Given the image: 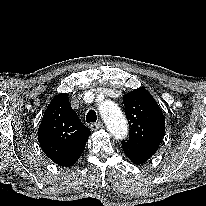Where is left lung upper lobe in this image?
Returning <instances> with one entry per match:
<instances>
[{"label":"left lung upper lobe","instance_id":"obj_1","mask_svg":"<svg viewBox=\"0 0 206 206\" xmlns=\"http://www.w3.org/2000/svg\"><path fill=\"white\" fill-rule=\"evenodd\" d=\"M126 118L130 125L123 150L155 154L165 132V117L152 95L137 88L123 96Z\"/></svg>","mask_w":206,"mask_h":206}]
</instances>
